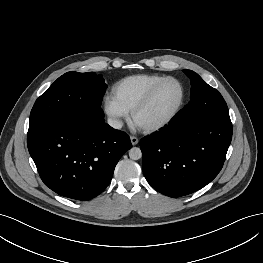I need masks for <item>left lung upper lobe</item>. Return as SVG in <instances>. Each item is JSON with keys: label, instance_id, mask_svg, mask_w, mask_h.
I'll return each mask as SVG.
<instances>
[{"label": "left lung upper lobe", "instance_id": "obj_1", "mask_svg": "<svg viewBox=\"0 0 263 263\" xmlns=\"http://www.w3.org/2000/svg\"><path fill=\"white\" fill-rule=\"evenodd\" d=\"M191 80V100L174 119L181 129L218 116H229L228 107L221 94L191 70H184Z\"/></svg>", "mask_w": 263, "mask_h": 263}]
</instances>
